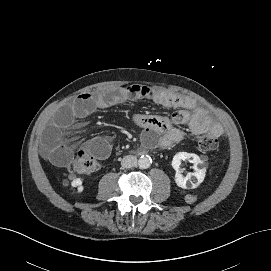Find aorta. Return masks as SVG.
Returning a JSON list of instances; mask_svg holds the SVG:
<instances>
[{
	"label": "aorta",
	"mask_w": 271,
	"mask_h": 271,
	"mask_svg": "<svg viewBox=\"0 0 271 271\" xmlns=\"http://www.w3.org/2000/svg\"><path fill=\"white\" fill-rule=\"evenodd\" d=\"M151 164H152V159L148 155H145V156L143 155L138 160V166L141 169H147L150 167Z\"/></svg>",
	"instance_id": "aorta-1"
}]
</instances>
